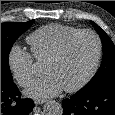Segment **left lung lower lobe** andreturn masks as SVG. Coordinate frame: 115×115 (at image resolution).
Returning <instances> with one entry per match:
<instances>
[{
    "instance_id": "left-lung-lower-lobe-1",
    "label": "left lung lower lobe",
    "mask_w": 115,
    "mask_h": 115,
    "mask_svg": "<svg viewBox=\"0 0 115 115\" xmlns=\"http://www.w3.org/2000/svg\"><path fill=\"white\" fill-rule=\"evenodd\" d=\"M63 115H115V86H105L63 100Z\"/></svg>"
}]
</instances>
